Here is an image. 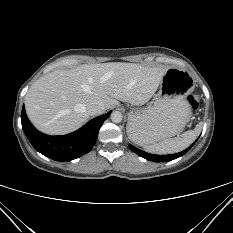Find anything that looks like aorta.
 Segmentation results:
<instances>
[{"label":"aorta","mask_w":233,"mask_h":233,"mask_svg":"<svg viewBox=\"0 0 233 233\" xmlns=\"http://www.w3.org/2000/svg\"><path fill=\"white\" fill-rule=\"evenodd\" d=\"M123 119V116H122V113L119 112V111H113L111 113V120L114 122V123H120Z\"/></svg>","instance_id":"obj_1"}]
</instances>
